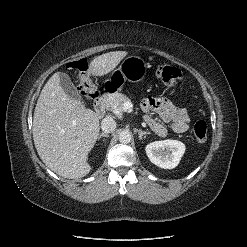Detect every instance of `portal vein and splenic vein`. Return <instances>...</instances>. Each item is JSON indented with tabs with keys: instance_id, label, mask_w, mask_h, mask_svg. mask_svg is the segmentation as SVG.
<instances>
[{
	"instance_id": "1",
	"label": "portal vein and splenic vein",
	"mask_w": 247,
	"mask_h": 247,
	"mask_svg": "<svg viewBox=\"0 0 247 247\" xmlns=\"http://www.w3.org/2000/svg\"><path fill=\"white\" fill-rule=\"evenodd\" d=\"M132 107V104L130 102L124 103L123 109L126 111ZM116 114H119V111H115Z\"/></svg>"
}]
</instances>
